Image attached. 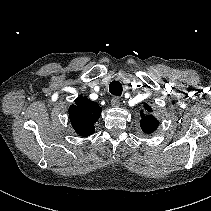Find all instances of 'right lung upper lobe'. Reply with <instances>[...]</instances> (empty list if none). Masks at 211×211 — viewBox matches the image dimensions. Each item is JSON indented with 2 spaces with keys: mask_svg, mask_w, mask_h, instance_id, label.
Masks as SVG:
<instances>
[{
  "mask_svg": "<svg viewBox=\"0 0 211 211\" xmlns=\"http://www.w3.org/2000/svg\"><path fill=\"white\" fill-rule=\"evenodd\" d=\"M101 115V107L87 97H78L75 105L69 108V117L75 131L83 137L94 133L96 123Z\"/></svg>",
  "mask_w": 211,
  "mask_h": 211,
  "instance_id": "1",
  "label": "right lung upper lobe"
}]
</instances>
